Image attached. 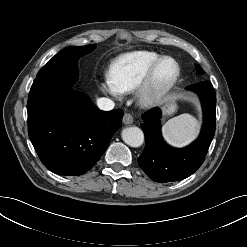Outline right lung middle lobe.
I'll return each instance as SVG.
<instances>
[{
	"label": "right lung middle lobe",
	"instance_id": "1",
	"mask_svg": "<svg viewBox=\"0 0 247 247\" xmlns=\"http://www.w3.org/2000/svg\"><path fill=\"white\" fill-rule=\"evenodd\" d=\"M94 45L67 47L52 57L38 72L33 87L70 86L76 78V63L79 57L94 49Z\"/></svg>",
	"mask_w": 247,
	"mask_h": 247
}]
</instances>
